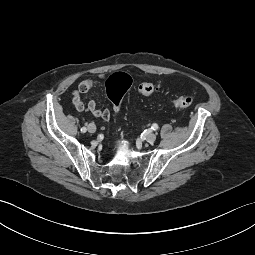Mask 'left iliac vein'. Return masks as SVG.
I'll return each instance as SVG.
<instances>
[{"mask_svg": "<svg viewBox=\"0 0 255 255\" xmlns=\"http://www.w3.org/2000/svg\"><path fill=\"white\" fill-rule=\"evenodd\" d=\"M145 139H146L147 142L152 143L156 140V134L149 133V134L146 135Z\"/></svg>", "mask_w": 255, "mask_h": 255, "instance_id": "left-iliac-vein-1", "label": "left iliac vein"}]
</instances>
